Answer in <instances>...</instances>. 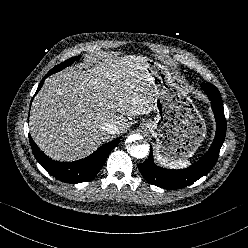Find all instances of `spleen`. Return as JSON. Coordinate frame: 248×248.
<instances>
[{
  "instance_id": "1",
  "label": "spleen",
  "mask_w": 248,
  "mask_h": 248,
  "mask_svg": "<svg viewBox=\"0 0 248 248\" xmlns=\"http://www.w3.org/2000/svg\"><path fill=\"white\" fill-rule=\"evenodd\" d=\"M157 160H159L163 165H165V166H167L169 168H173V169L186 168L191 164V162L188 161V160L166 161V160H163L158 155H157Z\"/></svg>"
}]
</instances>
